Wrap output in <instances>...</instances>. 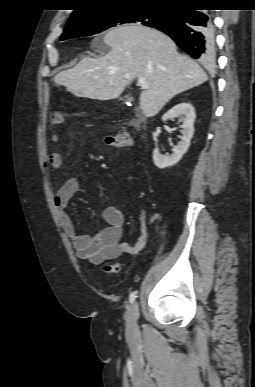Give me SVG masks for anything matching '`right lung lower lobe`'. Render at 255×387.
<instances>
[{
  "label": "right lung lower lobe",
  "instance_id": "98d812e1",
  "mask_svg": "<svg viewBox=\"0 0 255 387\" xmlns=\"http://www.w3.org/2000/svg\"><path fill=\"white\" fill-rule=\"evenodd\" d=\"M202 3L172 7L165 24L156 29L169 35L194 59L210 65L215 61L214 26L207 10H198Z\"/></svg>",
  "mask_w": 255,
  "mask_h": 387
}]
</instances>
